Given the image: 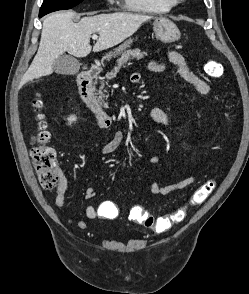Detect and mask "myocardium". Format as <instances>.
<instances>
[{
  "label": "myocardium",
  "instance_id": "obj_1",
  "mask_svg": "<svg viewBox=\"0 0 249 294\" xmlns=\"http://www.w3.org/2000/svg\"><path fill=\"white\" fill-rule=\"evenodd\" d=\"M170 1L175 4V3H178V2L183 1V0H170Z\"/></svg>",
  "mask_w": 249,
  "mask_h": 294
}]
</instances>
